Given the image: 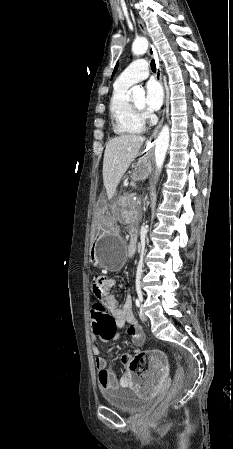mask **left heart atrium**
Returning a JSON list of instances; mask_svg holds the SVG:
<instances>
[{
  "mask_svg": "<svg viewBox=\"0 0 233 449\" xmlns=\"http://www.w3.org/2000/svg\"><path fill=\"white\" fill-rule=\"evenodd\" d=\"M163 102V90L158 82L151 80L146 84V108L151 111L160 109Z\"/></svg>",
  "mask_w": 233,
  "mask_h": 449,
  "instance_id": "1",
  "label": "left heart atrium"
}]
</instances>
